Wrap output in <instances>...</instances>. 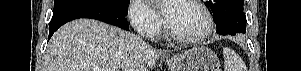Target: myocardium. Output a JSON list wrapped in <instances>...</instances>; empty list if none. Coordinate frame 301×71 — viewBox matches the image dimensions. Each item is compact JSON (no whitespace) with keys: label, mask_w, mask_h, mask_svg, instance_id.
<instances>
[{"label":"myocardium","mask_w":301,"mask_h":71,"mask_svg":"<svg viewBox=\"0 0 301 71\" xmlns=\"http://www.w3.org/2000/svg\"><path fill=\"white\" fill-rule=\"evenodd\" d=\"M181 1L186 2V3L194 6L195 8H197L202 13V15L205 18V22H206L204 30L199 35L183 36V35H180V34L176 33L170 27L168 22L165 21V29H166L167 35L170 38H172L173 40H175L176 42L183 43V44H199V43L204 42L212 34L213 28H214V22H213V18L211 16L210 12L199 1H195V0H181Z\"/></svg>","instance_id":"myocardium-1"}]
</instances>
